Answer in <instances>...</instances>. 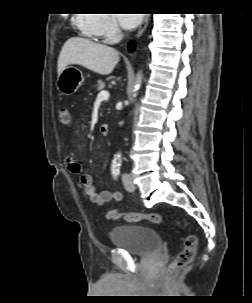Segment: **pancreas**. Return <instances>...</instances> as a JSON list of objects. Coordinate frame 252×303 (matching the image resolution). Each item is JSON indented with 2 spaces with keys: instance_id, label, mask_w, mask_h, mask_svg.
Returning a JSON list of instances; mask_svg holds the SVG:
<instances>
[{
  "instance_id": "1",
  "label": "pancreas",
  "mask_w": 252,
  "mask_h": 303,
  "mask_svg": "<svg viewBox=\"0 0 252 303\" xmlns=\"http://www.w3.org/2000/svg\"><path fill=\"white\" fill-rule=\"evenodd\" d=\"M96 88H97L98 91L104 89L105 88V83L102 82L101 80H98Z\"/></svg>"
}]
</instances>
